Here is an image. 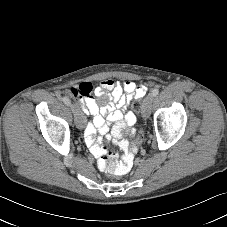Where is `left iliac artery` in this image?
Listing matches in <instances>:
<instances>
[{
	"mask_svg": "<svg viewBox=\"0 0 227 227\" xmlns=\"http://www.w3.org/2000/svg\"><path fill=\"white\" fill-rule=\"evenodd\" d=\"M151 94L155 97L159 94V90L157 88H155V89L152 90Z\"/></svg>",
	"mask_w": 227,
	"mask_h": 227,
	"instance_id": "obj_1",
	"label": "left iliac artery"
}]
</instances>
